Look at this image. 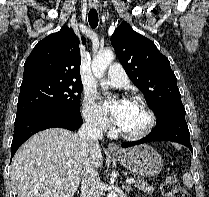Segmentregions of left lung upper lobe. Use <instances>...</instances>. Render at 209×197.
<instances>
[{
  "label": "left lung upper lobe",
  "mask_w": 209,
  "mask_h": 197,
  "mask_svg": "<svg viewBox=\"0 0 209 197\" xmlns=\"http://www.w3.org/2000/svg\"><path fill=\"white\" fill-rule=\"evenodd\" d=\"M111 43L130 80L147 97L156 117L185 110L170 62L152 41L122 22L111 36Z\"/></svg>",
  "instance_id": "5c2ea615"
}]
</instances>
